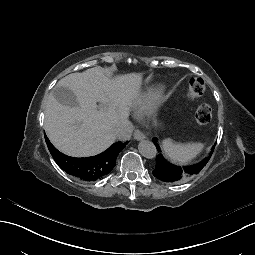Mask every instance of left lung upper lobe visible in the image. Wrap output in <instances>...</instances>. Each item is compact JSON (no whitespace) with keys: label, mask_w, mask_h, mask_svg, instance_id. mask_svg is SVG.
Instances as JSON below:
<instances>
[{"label":"left lung upper lobe","mask_w":255,"mask_h":255,"mask_svg":"<svg viewBox=\"0 0 255 255\" xmlns=\"http://www.w3.org/2000/svg\"><path fill=\"white\" fill-rule=\"evenodd\" d=\"M154 140V139H153ZM158 146V145H157ZM159 149V148H158ZM213 151H214V149L213 150H211V152H210V156H212V153H213ZM158 164V162L156 161V165ZM197 164H200V162L199 163H197ZM197 164H195V165H193V167H196L197 166ZM199 172H197L196 174H198ZM195 174V175H196ZM158 179V178H157ZM178 182H181V181H177V182H173V183H178ZM165 183H168V182H165Z\"/></svg>","instance_id":"left-lung-upper-lobe-1"}]
</instances>
